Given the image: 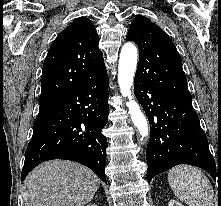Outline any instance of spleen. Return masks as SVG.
Listing matches in <instances>:
<instances>
[{
  "label": "spleen",
  "instance_id": "3e777b00",
  "mask_svg": "<svg viewBox=\"0 0 221 206\" xmlns=\"http://www.w3.org/2000/svg\"><path fill=\"white\" fill-rule=\"evenodd\" d=\"M168 182L178 199L188 206H214V190L201 170L190 165L170 169Z\"/></svg>",
  "mask_w": 221,
  "mask_h": 206
}]
</instances>
